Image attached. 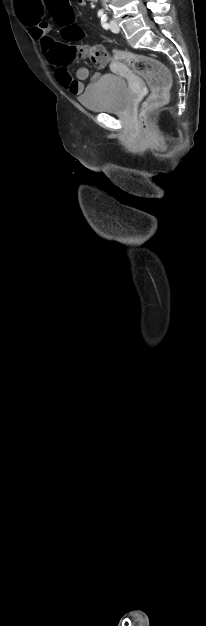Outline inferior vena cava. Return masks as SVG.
<instances>
[{"label":"inferior vena cava","instance_id":"602c4592","mask_svg":"<svg viewBox=\"0 0 206 626\" xmlns=\"http://www.w3.org/2000/svg\"><path fill=\"white\" fill-rule=\"evenodd\" d=\"M108 0H103V4L105 5Z\"/></svg>","mask_w":206,"mask_h":626}]
</instances>
